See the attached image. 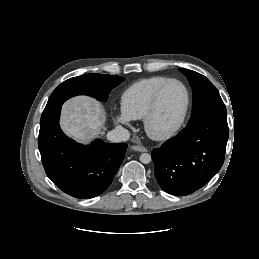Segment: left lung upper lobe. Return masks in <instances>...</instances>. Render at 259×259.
<instances>
[{
    "instance_id": "left-lung-upper-lobe-1",
    "label": "left lung upper lobe",
    "mask_w": 259,
    "mask_h": 259,
    "mask_svg": "<svg viewBox=\"0 0 259 259\" xmlns=\"http://www.w3.org/2000/svg\"><path fill=\"white\" fill-rule=\"evenodd\" d=\"M180 71L187 77L193 93L192 116L189 122L211 114H227L216 87L203 75L188 69Z\"/></svg>"
}]
</instances>
